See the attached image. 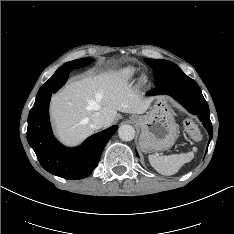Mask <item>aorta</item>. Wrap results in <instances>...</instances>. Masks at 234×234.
Masks as SVG:
<instances>
[{"mask_svg":"<svg viewBox=\"0 0 234 234\" xmlns=\"http://www.w3.org/2000/svg\"><path fill=\"white\" fill-rule=\"evenodd\" d=\"M118 135L123 141H131L135 136V130L131 125L124 124L119 127Z\"/></svg>","mask_w":234,"mask_h":234,"instance_id":"762f6f07","label":"aorta"}]
</instances>
